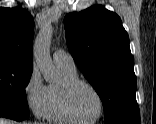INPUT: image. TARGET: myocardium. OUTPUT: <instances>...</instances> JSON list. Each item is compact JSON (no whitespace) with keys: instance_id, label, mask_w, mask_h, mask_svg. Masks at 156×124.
I'll return each mask as SVG.
<instances>
[{"instance_id":"myocardium-1","label":"myocardium","mask_w":156,"mask_h":124,"mask_svg":"<svg viewBox=\"0 0 156 124\" xmlns=\"http://www.w3.org/2000/svg\"><path fill=\"white\" fill-rule=\"evenodd\" d=\"M79 86H86L90 88L97 95L99 102H100V111L98 115L90 120H85L81 118L75 111L73 104H72L73 92ZM61 92H62V101H63L64 109L66 113L69 115V117L76 123L91 124L102 118L105 112V107H106L104 97L99 91V89L95 85L90 83L89 81L80 79V78L66 81L62 84Z\"/></svg>"}]
</instances>
